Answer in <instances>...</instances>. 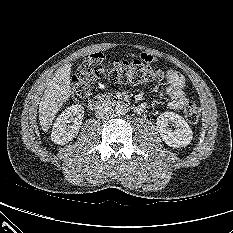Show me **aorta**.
Returning a JSON list of instances; mask_svg holds the SVG:
<instances>
[{
  "mask_svg": "<svg viewBox=\"0 0 233 233\" xmlns=\"http://www.w3.org/2000/svg\"><path fill=\"white\" fill-rule=\"evenodd\" d=\"M127 112V108H126V105L124 103H119L116 105L115 107V113L118 115V116H123L125 115Z\"/></svg>",
  "mask_w": 233,
  "mask_h": 233,
  "instance_id": "aorta-1",
  "label": "aorta"
}]
</instances>
